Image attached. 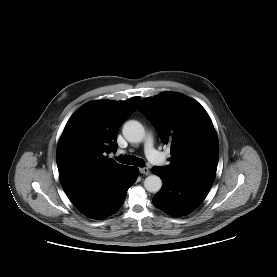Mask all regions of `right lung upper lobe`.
I'll use <instances>...</instances> for the list:
<instances>
[{
	"label": "right lung upper lobe",
	"instance_id": "1",
	"mask_svg": "<svg viewBox=\"0 0 277 277\" xmlns=\"http://www.w3.org/2000/svg\"><path fill=\"white\" fill-rule=\"evenodd\" d=\"M139 101V97L117 102L92 101L68 120L56 159L61 185L70 200L94 191L124 167L106 154L116 150L117 131Z\"/></svg>",
	"mask_w": 277,
	"mask_h": 277
}]
</instances>
